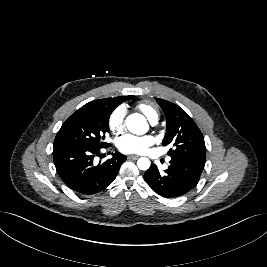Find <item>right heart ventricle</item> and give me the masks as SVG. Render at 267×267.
<instances>
[{
    "instance_id": "1",
    "label": "right heart ventricle",
    "mask_w": 267,
    "mask_h": 267,
    "mask_svg": "<svg viewBox=\"0 0 267 267\" xmlns=\"http://www.w3.org/2000/svg\"><path fill=\"white\" fill-rule=\"evenodd\" d=\"M136 108L151 122L156 123L159 118L158 109L149 101H143L136 105Z\"/></svg>"
}]
</instances>
